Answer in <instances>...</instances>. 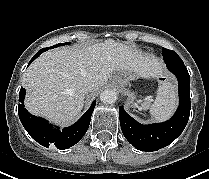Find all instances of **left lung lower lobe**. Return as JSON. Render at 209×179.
<instances>
[{"label": "left lung lower lobe", "mask_w": 209, "mask_h": 179, "mask_svg": "<svg viewBox=\"0 0 209 179\" xmlns=\"http://www.w3.org/2000/svg\"><path fill=\"white\" fill-rule=\"evenodd\" d=\"M166 66L178 79L179 107L173 117L162 123L143 125L119 108L120 125L125 138L136 149L157 151L171 144L184 130L190 115V76L182 60Z\"/></svg>", "instance_id": "obj_1"}]
</instances>
